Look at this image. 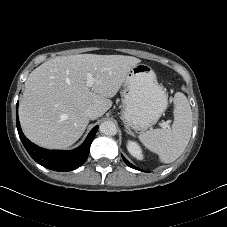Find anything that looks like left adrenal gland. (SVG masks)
<instances>
[{"label": "left adrenal gland", "instance_id": "1", "mask_svg": "<svg viewBox=\"0 0 227 227\" xmlns=\"http://www.w3.org/2000/svg\"><path fill=\"white\" fill-rule=\"evenodd\" d=\"M125 130L128 134L130 135H134L133 132L130 130V128L128 126H125Z\"/></svg>", "mask_w": 227, "mask_h": 227}]
</instances>
